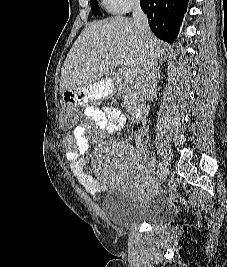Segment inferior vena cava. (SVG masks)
<instances>
[{
    "mask_svg": "<svg viewBox=\"0 0 227 267\" xmlns=\"http://www.w3.org/2000/svg\"><path fill=\"white\" fill-rule=\"evenodd\" d=\"M132 16L136 30L147 50L138 85L143 97L146 100H152L157 86L158 60L152 45L149 43L151 31L149 29L147 16L142 11L139 0H136L133 4Z\"/></svg>",
    "mask_w": 227,
    "mask_h": 267,
    "instance_id": "obj_1",
    "label": "inferior vena cava"
}]
</instances>
